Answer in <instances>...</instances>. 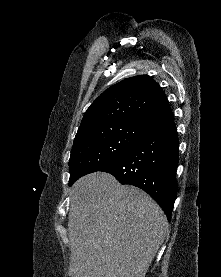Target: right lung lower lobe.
Listing matches in <instances>:
<instances>
[{
    "instance_id": "right-lung-lower-lobe-1",
    "label": "right lung lower lobe",
    "mask_w": 221,
    "mask_h": 277,
    "mask_svg": "<svg viewBox=\"0 0 221 277\" xmlns=\"http://www.w3.org/2000/svg\"><path fill=\"white\" fill-rule=\"evenodd\" d=\"M139 126L140 136L129 151L100 171L112 174L121 184L143 189L170 221L177 195L179 143L169 104L142 116Z\"/></svg>"
}]
</instances>
